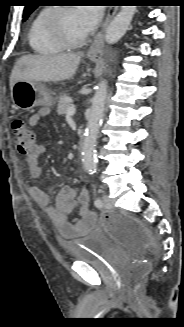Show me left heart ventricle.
Masks as SVG:
<instances>
[{
    "instance_id": "left-heart-ventricle-1",
    "label": "left heart ventricle",
    "mask_w": 184,
    "mask_h": 327,
    "mask_svg": "<svg viewBox=\"0 0 184 327\" xmlns=\"http://www.w3.org/2000/svg\"><path fill=\"white\" fill-rule=\"evenodd\" d=\"M62 25L65 33L72 39H79L88 33L75 9L63 15Z\"/></svg>"
}]
</instances>
